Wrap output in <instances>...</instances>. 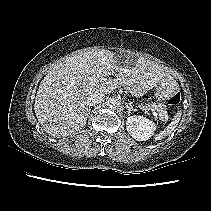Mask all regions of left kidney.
I'll return each mask as SVG.
<instances>
[{
  "label": "left kidney",
  "mask_w": 211,
  "mask_h": 211,
  "mask_svg": "<svg viewBox=\"0 0 211 211\" xmlns=\"http://www.w3.org/2000/svg\"><path fill=\"white\" fill-rule=\"evenodd\" d=\"M126 128L135 140L146 141L152 136L156 125L143 116L134 115L127 118Z\"/></svg>",
  "instance_id": "obj_1"
}]
</instances>
